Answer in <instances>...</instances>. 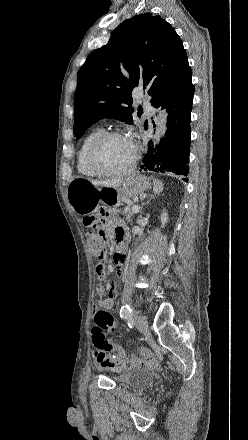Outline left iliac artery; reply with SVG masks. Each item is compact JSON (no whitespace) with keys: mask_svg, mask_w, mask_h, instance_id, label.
Segmentation results:
<instances>
[{"mask_svg":"<svg viewBox=\"0 0 248 440\" xmlns=\"http://www.w3.org/2000/svg\"><path fill=\"white\" fill-rule=\"evenodd\" d=\"M132 313H133L132 308L129 305L126 304L121 307L120 316L122 318H125L129 322L132 321ZM129 326H130V324H129Z\"/></svg>","mask_w":248,"mask_h":440,"instance_id":"obj_1","label":"left iliac artery"}]
</instances>
